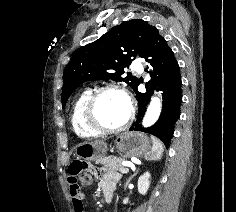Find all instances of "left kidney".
I'll use <instances>...</instances> for the list:
<instances>
[{"instance_id":"1","label":"left kidney","mask_w":236,"mask_h":212,"mask_svg":"<svg viewBox=\"0 0 236 212\" xmlns=\"http://www.w3.org/2000/svg\"><path fill=\"white\" fill-rule=\"evenodd\" d=\"M150 173L146 172L141 175L138 179V192L142 195H145L150 186Z\"/></svg>"}]
</instances>
